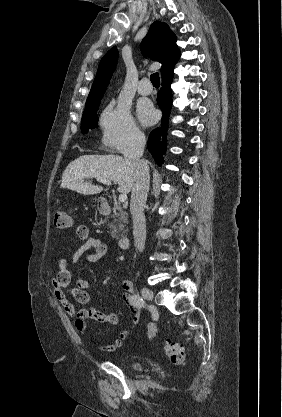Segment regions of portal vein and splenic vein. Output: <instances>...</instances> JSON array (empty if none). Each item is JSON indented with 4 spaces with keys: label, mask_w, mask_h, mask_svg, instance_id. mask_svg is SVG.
Instances as JSON below:
<instances>
[{
    "label": "portal vein and splenic vein",
    "mask_w": 282,
    "mask_h": 417,
    "mask_svg": "<svg viewBox=\"0 0 282 417\" xmlns=\"http://www.w3.org/2000/svg\"><path fill=\"white\" fill-rule=\"evenodd\" d=\"M99 182H103V184H112L111 180H107V178H97ZM119 200L120 202H125L127 200V192H122V194H119Z\"/></svg>",
    "instance_id": "18ae733b"
}]
</instances>
